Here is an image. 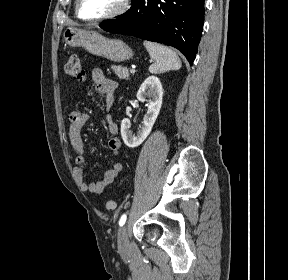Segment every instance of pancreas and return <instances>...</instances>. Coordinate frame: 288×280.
<instances>
[{
  "label": "pancreas",
  "instance_id": "obj_1",
  "mask_svg": "<svg viewBox=\"0 0 288 280\" xmlns=\"http://www.w3.org/2000/svg\"><path fill=\"white\" fill-rule=\"evenodd\" d=\"M111 69L120 79H126L127 80L129 78V73H128L127 67L114 65L111 67Z\"/></svg>",
  "mask_w": 288,
  "mask_h": 280
}]
</instances>
